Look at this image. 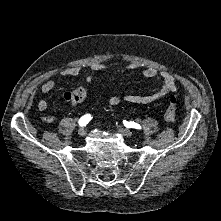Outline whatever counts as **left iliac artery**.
<instances>
[{
	"label": "left iliac artery",
	"mask_w": 221,
	"mask_h": 221,
	"mask_svg": "<svg viewBox=\"0 0 221 221\" xmlns=\"http://www.w3.org/2000/svg\"><path fill=\"white\" fill-rule=\"evenodd\" d=\"M123 123L128 128L141 129V126L135 122H129V121L124 120Z\"/></svg>",
	"instance_id": "44dca946"
}]
</instances>
